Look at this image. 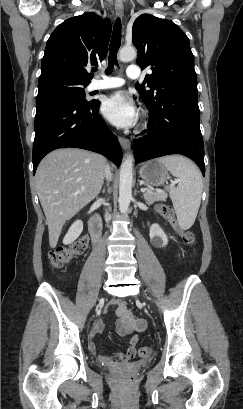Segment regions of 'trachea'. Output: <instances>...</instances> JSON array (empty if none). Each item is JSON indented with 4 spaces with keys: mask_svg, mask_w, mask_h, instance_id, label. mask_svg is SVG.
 Returning <instances> with one entry per match:
<instances>
[{
    "mask_svg": "<svg viewBox=\"0 0 243 409\" xmlns=\"http://www.w3.org/2000/svg\"><path fill=\"white\" fill-rule=\"evenodd\" d=\"M121 45V21L117 19L114 24L113 34L109 46L110 55L108 58V67L106 69V75H110L113 71V67L117 64V52Z\"/></svg>",
    "mask_w": 243,
    "mask_h": 409,
    "instance_id": "3493384b",
    "label": "trachea"
}]
</instances>
